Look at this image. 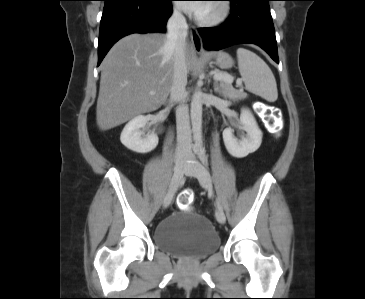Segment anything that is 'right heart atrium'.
Returning a JSON list of instances; mask_svg holds the SVG:
<instances>
[{"instance_id": "d8ad5b80", "label": "right heart atrium", "mask_w": 365, "mask_h": 299, "mask_svg": "<svg viewBox=\"0 0 365 299\" xmlns=\"http://www.w3.org/2000/svg\"><path fill=\"white\" fill-rule=\"evenodd\" d=\"M174 13L175 14H180V9L178 7H174Z\"/></svg>"}]
</instances>
